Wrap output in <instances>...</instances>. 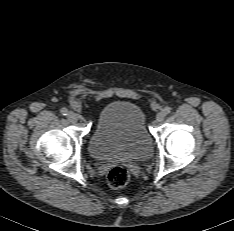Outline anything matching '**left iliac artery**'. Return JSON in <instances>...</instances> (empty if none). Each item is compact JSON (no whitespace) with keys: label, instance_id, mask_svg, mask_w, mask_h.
Returning <instances> with one entry per match:
<instances>
[{"label":"left iliac artery","instance_id":"1","mask_svg":"<svg viewBox=\"0 0 234 231\" xmlns=\"http://www.w3.org/2000/svg\"><path fill=\"white\" fill-rule=\"evenodd\" d=\"M163 111H164L165 114H169L171 112V108L167 106V107L164 108Z\"/></svg>","mask_w":234,"mask_h":231}]
</instances>
